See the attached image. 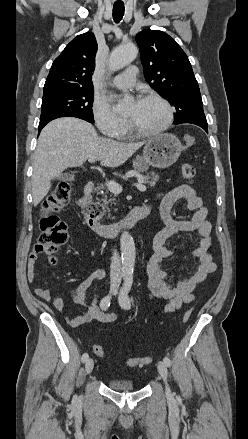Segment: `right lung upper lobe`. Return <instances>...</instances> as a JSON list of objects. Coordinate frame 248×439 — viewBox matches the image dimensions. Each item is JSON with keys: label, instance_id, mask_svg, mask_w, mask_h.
Masks as SVG:
<instances>
[{"label": "right lung upper lobe", "instance_id": "cb5924a9", "mask_svg": "<svg viewBox=\"0 0 248 439\" xmlns=\"http://www.w3.org/2000/svg\"><path fill=\"white\" fill-rule=\"evenodd\" d=\"M97 48L93 33L76 36L54 60L44 85V95L73 89H93L91 78Z\"/></svg>", "mask_w": 248, "mask_h": 439}]
</instances>
